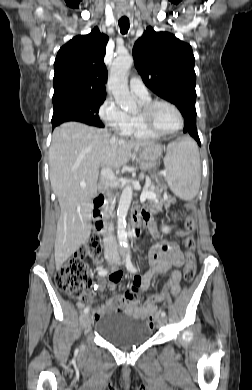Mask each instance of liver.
I'll return each mask as SVG.
<instances>
[{
  "instance_id": "1",
  "label": "liver",
  "mask_w": 252,
  "mask_h": 390,
  "mask_svg": "<svg viewBox=\"0 0 252 390\" xmlns=\"http://www.w3.org/2000/svg\"><path fill=\"white\" fill-rule=\"evenodd\" d=\"M145 147L161 149L152 142L125 141L78 122L54 129L49 167L51 187L61 209L54 246L57 268L90 236L91 200L97 195L100 168H120L129 162L133 149ZM81 182L86 187H81Z\"/></svg>"
}]
</instances>
